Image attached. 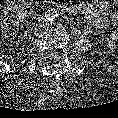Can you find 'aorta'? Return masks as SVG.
Here are the masks:
<instances>
[{"instance_id": "obj_1", "label": "aorta", "mask_w": 118, "mask_h": 118, "mask_svg": "<svg viewBox=\"0 0 118 118\" xmlns=\"http://www.w3.org/2000/svg\"><path fill=\"white\" fill-rule=\"evenodd\" d=\"M57 16H58V12L53 8L47 10L44 14L45 19L48 21L55 20L57 18Z\"/></svg>"}]
</instances>
